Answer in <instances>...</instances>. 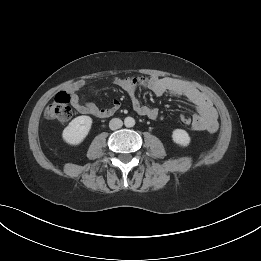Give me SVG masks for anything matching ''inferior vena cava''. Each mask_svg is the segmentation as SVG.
<instances>
[{"label": "inferior vena cava", "instance_id": "602c4592", "mask_svg": "<svg viewBox=\"0 0 261 261\" xmlns=\"http://www.w3.org/2000/svg\"><path fill=\"white\" fill-rule=\"evenodd\" d=\"M123 125V122L121 119L119 118H113L112 120H110L109 122V127L111 130H116V129H119L121 128Z\"/></svg>", "mask_w": 261, "mask_h": 261}]
</instances>
